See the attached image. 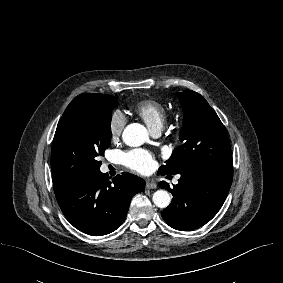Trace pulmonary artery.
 Masks as SVG:
<instances>
[{
    "label": "pulmonary artery",
    "instance_id": "pulmonary-artery-1",
    "mask_svg": "<svg viewBox=\"0 0 283 283\" xmlns=\"http://www.w3.org/2000/svg\"><path fill=\"white\" fill-rule=\"evenodd\" d=\"M152 134L154 136H158L160 134V130H154V131H152ZM175 182H177V180H175Z\"/></svg>",
    "mask_w": 283,
    "mask_h": 283
}]
</instances>
